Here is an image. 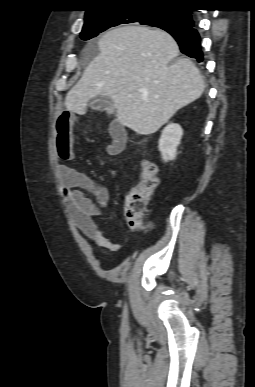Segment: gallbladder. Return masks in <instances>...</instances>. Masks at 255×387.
Returning a JSON list of instances; mask_svg holds the SVG:
<instances>
[{
  "label": "gallbladder",
  "mask_w": 255,
  "mask_h": 387,
  "mask_svg": "<svg viewBox=\"0 0 255 387\" xmlns=\"http://www.w3.org/2000/svg\"><path fill=\"white\" fill-rule=\"evenodd\" d=\"M90 106L92 107V109H97L100 111H109L113 107L112 100L108 97L103 96L93 98L90 102Z\"/></svg>",
  "instance_id": "bac80fb5"
}]
</instances>
